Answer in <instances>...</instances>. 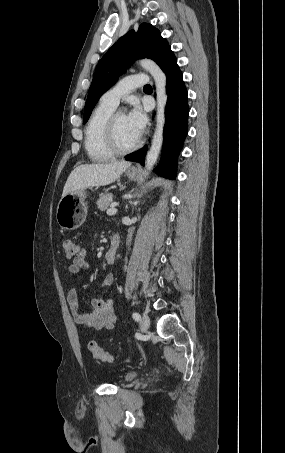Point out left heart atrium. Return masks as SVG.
I'll return each instance as SVG.
<instances>
[{
    "instance_id": "left-heart-atrium-1",
    "label": "left heart atrium",
    "mask_w": 285,
    "mask_h": 453,
    "mask_svg": "<svg viewBox=\"0 0 285 453\" xmlns=\"http://www.w3.org/2000/svg\"><path fill=\"white\" fill-rule=\"evenodd\" d=\"M127 117L132 127L141 136L145 129L147 118L140 105L134 104L130 112L127 114Z\"/></svg>"
}]
</instances>
